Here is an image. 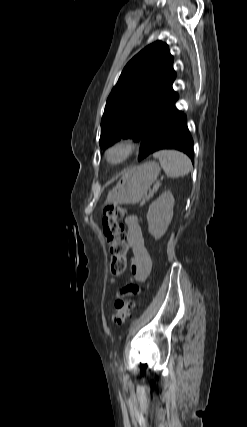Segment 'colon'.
I'll return each mask as SVG.
<instances>
[{
  "label": "colon",
  "mask_w": 247,
  "mask_h": 427,
  "mask_svg": "<svg viewBox=\"0 0 247 427\" xmlns=\"http://www.w3.org/2000/svg\"><path fill=\"white\" fill-rule=\"evenodd\" d=\"M124 209L118 205H110L104 209L102 226L104 236L109 244L111 260L110 273L112 277L123 274L127 265L128 245L121 220L124 216ZM137 309V304L133 300L118 299L114 304L112 321L123 324Z\"/></svg>",
  "instance_id": "colon-1"
}]
</instances>
